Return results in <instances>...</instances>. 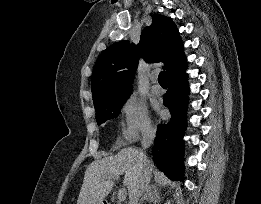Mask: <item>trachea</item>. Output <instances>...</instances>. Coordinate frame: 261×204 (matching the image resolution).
I'll use <instances>...</instances> for the list:
<instances>
[{"instance_id": "3493384b", "label": "trachea", "mask_w": 261, "mask_h": 204, "mask_svg": "<svg viewBox=\"0 0 261 204\" xmlns=\"http://www.w3.org/2000/svg\"><path fill=\"white\" fill-rule=\"evenodd\" d=\"M158 81L160 84H167V78L165 71H161L159 73Z\"/></svg>"}]
</instances>
